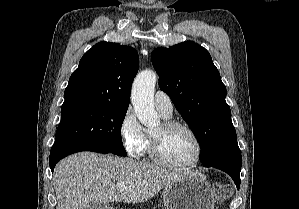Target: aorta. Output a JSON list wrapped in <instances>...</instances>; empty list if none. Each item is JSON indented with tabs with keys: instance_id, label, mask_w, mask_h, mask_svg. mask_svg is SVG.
<instances>
[{
	"instance_id": "obj_1",
	"label": "aorta",
	"mask_w": 299,
	"mask_h": 209,
	"mask_svg": "<svg viewBox=\"0 0 299 209\" xmlns=\"http://www.w3.org/2000/svg\"><path fill=\"white\" fill-rule=\"evenodd\" d=\"M155 84L156 73L145 70L136 76L132 85L131 102L137 118L146 127H155L160 122L154 107Z\"/></svg>"
}]
</instances>
